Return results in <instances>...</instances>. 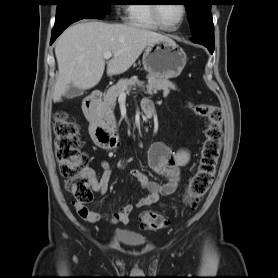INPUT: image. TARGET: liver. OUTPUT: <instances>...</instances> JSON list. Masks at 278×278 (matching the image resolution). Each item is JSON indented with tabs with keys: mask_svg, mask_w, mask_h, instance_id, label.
<instances>
[{
	"mask_svg": "<svg viewBox=\"0 0 278 278\" xmlns=\"http://www.w3.org/2000/svg\"><path fill=\"white\" fill-rule=\"evenodd\" d=\"M166 36L136 25L85 21L66 29L55 45L59 75L53 91L58 102L70 85L80 89L95 87L105 69V52H112L107 74L127 71L148 44Z\"/></svg>",
	"mask_w": 278,
	"mask_h": 278,
	"instance_id": "1",
	"label": "liver"
}]
</instances>
